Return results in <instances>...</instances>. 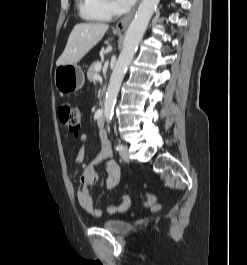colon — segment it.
<instances>
[{
    "instance_id": "5ec220e1",
    "label": "colon",
    "mask_w": 247,
    "mask_h": 265,
    "mask_svg": "<svg viewBox=\"0 0 247 265\" xmlns=\"http://www.w3.org/2000/svg\"><path fill=\"white\" fill-rule=\"evenodd\" d=\"M58 116L60 122L73 134L78 135L81 126V114L79 110L68 102L60 103L58 107ZM156 202V197L153 194H147L145 205L152 206Z\"/></svg>"
}]
</instances>
